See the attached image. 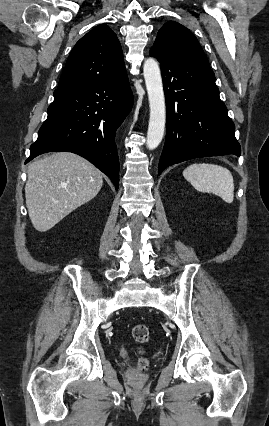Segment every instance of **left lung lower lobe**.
<instances>
[{"label":"left lung lower lobe","instance_id":"obj_1","mask_svg":"<svg viewBox=\"0 0 269 426\" xmlns=\"http://www.w3.org/2000/svg\"><path fill=\"white\" fill-rule=\"evenodd\" d=\"M150 56L160 63L167 112L166 140L158 174L193 158L240 156L234 123L220 100L214 72L189 59L153 48Z\"/></svg>","mask_w":269,"mask_h":426}]
</instances>
